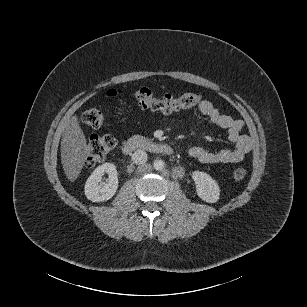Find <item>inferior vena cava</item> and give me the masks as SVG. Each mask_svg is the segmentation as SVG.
<instances>
[{
	"instance_id": "inferior-vena-cava-1",
	"label": "inferior vena cava",
	"mask_w": 307,
	"mask_h": 307,
	"mask_svg": "<svg viewBox=\"0 0 307 307\" xmlns=\"http://www.w3.org/2000/svg\"><path fill=\"white\" fill-rule=\"evenodd\" d=\"M148 159V155L143 150H136L132 155V161L135 164H143L146 163Z\"/></svg>"
}]
</instances>
